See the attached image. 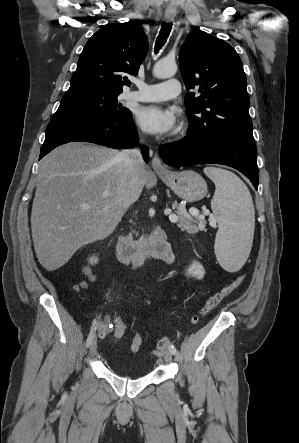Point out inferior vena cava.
I'll return each mask as SVG.
<instances>
[{
  "label": "inferior vena cava",
  "instance_id": "inferior-vena-cava-1",
  "mask_svg": "<svg viewBox=\"0 0 299 443\" xmlns=\"http://www.w3.org/2000/svg\"><path fill=\"white\" fill-rule=\"evenodd\" d=\"M120 158L124 164L125 175L130 176L131 180H134L136 171L144 167V161L140 150L138 148L123 150L120 153ZM127 199V196L124 195L123 200L126 201Z\"/></svg>",
  "mask_w": 299,
  "mask_h": 443
}]
</instances>
